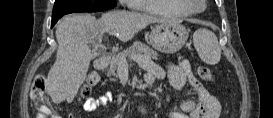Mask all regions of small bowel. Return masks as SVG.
Listing matches in <instances>:
<instances>
[{
	"label": "small bowel",
	"instance_id": "c3829d8e",
	"mask_svg": "<svg viewBox=\"0 0 273 118\" xmlns=\"http://www.w3.org/2000/svg\"><path fill=\"white\" fill-rule=\"evenodd\" d=\"M168 78L171 86L184 91L187 99L183 101L180 109L171 110L168 118H218L220 116V103L193 75L190 64L186 60L170 64L166 68L152 65L145 75L146 82H154L155 79ZM112 101L111 95L103 94L87 98L83 103V109L93 112ZM77 114L71 112L69 118H76Z\"/></svg>",
	"mask_w": 273,
	"mask_h": 118
}]
</instances>
